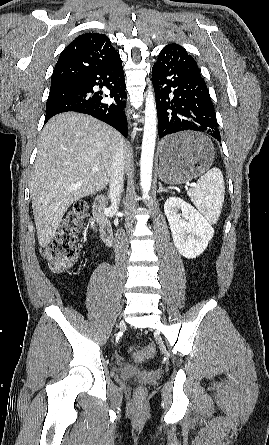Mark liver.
<instances>
[{"label": "liver", "mask_w": 269, "mask_h": 445, "mask_svg": "<svg viewBox=\"0 0 269 445\" xmlns=\"http://www.w3.org/2000/svg\"><path fill=\"white\" fill-rule=\"evenodd\" d=\"M118 145L123 147L128 164L129 144L115 129L91 116L67 112L46 124L31 177L32 209L41 247L52 241L73 203L107 186ZM94 167L98 171L93 172Z\"/></svg>", "instance_id": "6515ba94"}]
</instances>
